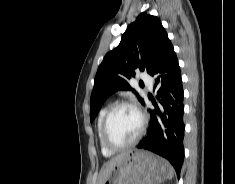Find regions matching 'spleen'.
I'll use <instances>...</instances> for the list:
<instances>
[{
  "instance_id": "3e777b00",
  "label": "spleen",
  "mask_w": 235,
  "mask_h": 184,
  "mask_svg": "<svg viewBox=\"0 0 235 184\" xmlns=\"http://www.w3.org/2000/svg\"><path fill=\"white\" fill-rule=\"evenodd\" d=\"M173 176H174V170H173L172 166H169V170H168V174H167L168 180H172Z\"/></svg>"
}]
</instances>
